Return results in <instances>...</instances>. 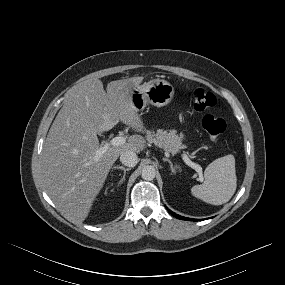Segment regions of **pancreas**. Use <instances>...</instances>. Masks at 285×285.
<instances>
[{"label": "pancreas", "mask_w": 285, "mask_h": 285, "mask_svg": "<svg viewBox=\"0 0 285 285\" xmlns=\"http://www.w3.org/2000/svg\"><path fill=\"white\" fill-rule=\"evenodd\" d=\"M146 138L150 143H154L164 151L176 154L180 149L186 146L182 144L183 134L177 135L175 130L169 132L158 129L157 132L147 131Z\"/></svg>", "instance_id": "cf45deb5"}]
</instances>
